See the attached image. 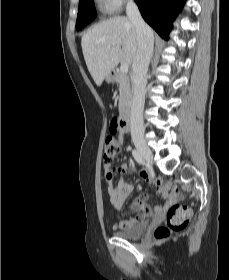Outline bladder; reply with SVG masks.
I'll return each mask as SVG.
<instances>
[{
    "instance_id": "31cf9c89",
    "label": "bladder",
    "mask_w": 229,
    "mask_h": 280,
    "mask_svg": "<svg viewBox=\"0 0 229 280\" xmlns=\"http://www.w3.org/2000/svg\"><path fill=\"white\" fill-rule=\"evenodd\" d=\"M147 226L148 223L146 220H139L130 228L115 231L114 235L127 239L139 238L145 233Z\"/></svg>"
}]
</instances>
